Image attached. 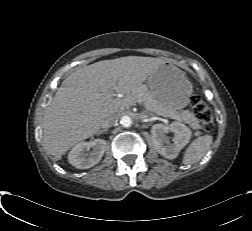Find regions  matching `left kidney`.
Instances as JSON below:
<instances>
[{"label": "left kidney", "mask_w": 252, "mask_h": 231, "mask_svg": "<svg viewBox=\"0 0 252 231\" xmlns=\"http://www.w3.org/2000/svg\"><path fill=\"white\" fill-rule=\"evenodd\" d=\"M173 132V143L169 142L166 133ZM151 135L155 149L167 159H175L180 150L186 146L191 138V130L180 122H173L169 126L155 124L151 128Z\"/></svg>", "instance_id": "left-kidney-1"}]
</instances>
